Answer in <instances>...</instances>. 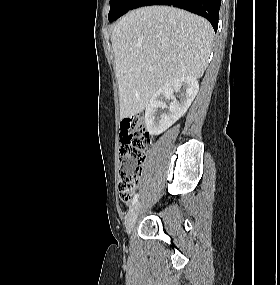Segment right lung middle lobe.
Listing matches in <instances>:
<instances>
[{"label":"right lung middle lobe","instance_id":"1","mask_svg":"<svg viewBox=\"0 0 280 285\" xmlns=\"http://www.w3.org/2000/svg\"><path fill=\"white\" fill-rule=\"evenodd\" d=\"M137 0H110V12L108 19L110 22L116 20L127 11L132 9Z\"/></svg>","mask_w":280,"mask_h":285}]
</instances>
